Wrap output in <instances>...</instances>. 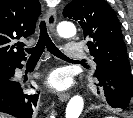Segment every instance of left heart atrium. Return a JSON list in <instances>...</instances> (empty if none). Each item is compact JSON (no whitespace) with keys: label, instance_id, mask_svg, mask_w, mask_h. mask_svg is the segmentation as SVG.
<instances>
[{"label":"left heart atrium","instance_id":"39dd6f15","mask_svg":"<svg viewBox=\"0 0 133 118\" xmlns=\"http://www.w3.org/2000/svg\"><path fill=\"white\" fill-rule=\"evenodd\" d=\"M46 84L48 87L54 90L57 91L64 90L68 86V76L61 69L54 70L47 77Z\"/></svg>","mask_w":133,"mask_h":118}]
</instances>
